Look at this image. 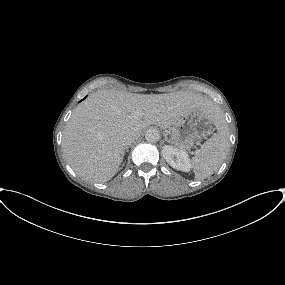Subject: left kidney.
<instances>
[{"label":"left kidney","instance_id":"1","mask_svg":"<svg viewBox=\"0 0 285 285\" xmlns=\"http://www.w3.org/2000/svg\"><path fill=\"white\" fill-rule=\"evenodd\" d=\"M162 154L166 162L174 169L183 172L190 171L191 163L186 151L165 145L163 146Z\"/></svg>","mask_w":285,"mask_h":285}]
</instances>
